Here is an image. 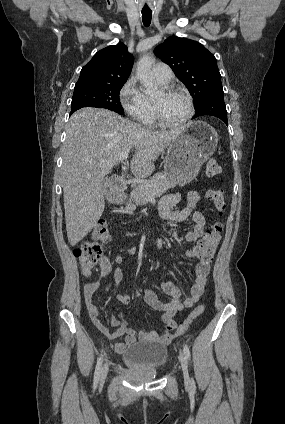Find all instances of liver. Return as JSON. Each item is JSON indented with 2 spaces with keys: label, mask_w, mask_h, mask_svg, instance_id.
Masks as SVG:
<instances>
[{
  "label": "liver",
  "mask_w": 285,
  "mask_h": 424,
  "mask_svg": "<svg viewBox=\"0 0 285 424\" xmlns=\"http://www.w3.org/2000/svg\"><path fill=\"white\" fill-rule=\"evenodd\" d=\"M179 134V130L145 129L100 108H82L70 117L62 147L61 182L71 246L82 240L102 216V182L121 155L132 151V173L146 178L154 171V161Z\"/></svg>",
  "instance_id": "liver-1"
}]
</instances>
